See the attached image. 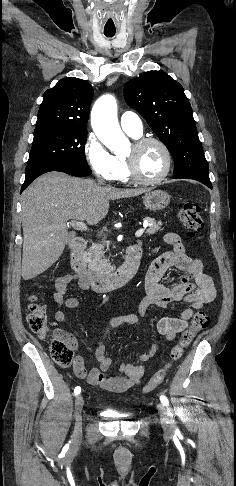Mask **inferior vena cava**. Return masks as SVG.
I'll return each instance as SVG.
<instances>
[{
  "label": "inferior vena cava",
  "mask_w": 236,
  "mask_h": 486,
  "mask_svg": "<svg viewBox=\"0 0 236 486\" xmlns=\"http://www.w3.org/2000/svg\"><path fill=\"white\" fill-rule=\"evenodd\" d=\"M98 183H99L100 185H103V184H104L102 179H99V180H98Z\"/></svg>",
  "instance_id": "obj_1"
}]
</instances>
